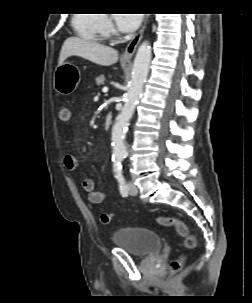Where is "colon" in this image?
I'll return each instance as SVG.
<instances>
[{
    "label": "colon",
    "mask_w": 252,
    "mask_h": 303,
    "mask_svg": "<svg viewBox=\"0 0 252 303\" xmlns=\"http://www.w3.org/2000/svg\"><path fill=\"white\" fill-rule=\"evenodd\" d=\"M59 118L62 122L70 121V109L68 106L62 105L59 108ZM112 219V214L102 213L100 215V220L103 224H108ZM157 223L162 226H172L174 227L178 234L183 238V245L188 250H193L197 246L196 237L189 231V228L185 223L179 219L172 216H159L157 218ZM186 256L180 255L174 260L171 261L169 266V272L171 274H176L182 269V266L185 262Z\"/></svg>",
    "instance_id": "5ec220e1"
}]
</instances>
